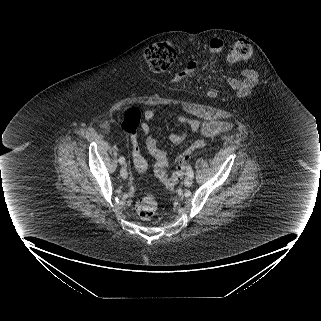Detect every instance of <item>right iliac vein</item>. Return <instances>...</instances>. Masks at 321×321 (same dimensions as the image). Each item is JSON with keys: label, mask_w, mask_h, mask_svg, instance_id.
Here are the masks:
<instances>
[{"label": "right iliac vein", "mask_w": 321, "mask_h": 321, "mask_svg": "<svg viewBox=\"0 0 321 321\" xmlns=\"http://www.w3.org/2000/svg\"><path fill=\"white\" fill-rule=\"evenodd\" d=\"M120 175L122 178L126 179L128 177V173L125 168H122L120 171Z\"/></svg>", "instance_id": "63e3f726"}]
</instances>
